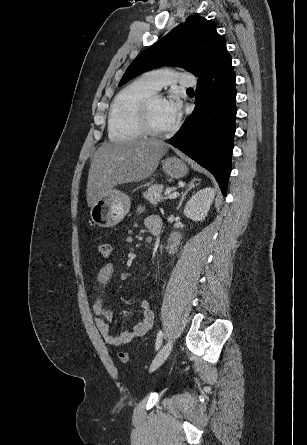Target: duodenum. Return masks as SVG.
Returning <instances> with one entry per match:
<instances>
[{"label":"duodenum","mask_w":307,"mask_h":445,"mask_svg":"<svg viewBox=\"0 0 307 445\" xmlns=\"http://www.w3.org/2000/svg\"><path fill=\"white\" fill-rule=\"evenodd\" d=\"M153 235H157V232H153Z\"/></svg>","instance_id":"duodenum-1"}]
</instances>
